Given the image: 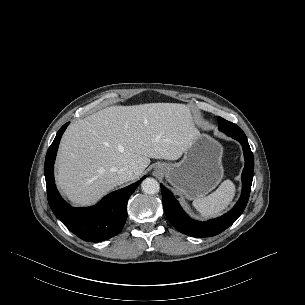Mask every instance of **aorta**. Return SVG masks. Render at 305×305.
Wrapping results in <instances>:
<instances>
[{"mask_svg": "<svg viewBox=\"0 0 305 305\" xmlns=\"http://www.w3.org/2000/svg\"><path fill=\"white\" fill-rule=\"evenodd\" d=\"M142 191L146 194L153 195L159 192L160 186L156 179L146 178L141 183Z\"/></svg>", "mask_w": 305, "mask_h": 305, "instance_id": "obj_1", "label": "aorta"}]
</instances>
